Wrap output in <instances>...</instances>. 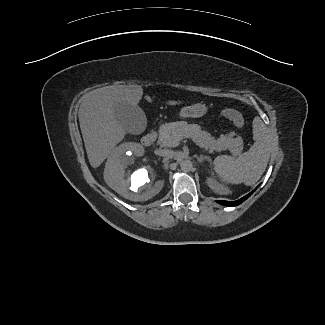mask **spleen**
<instances>
[{
    "label": "spleen",
    "instance_id": "obj_1",
    "mask_svg": "<svg viewBox=\"0 0 325 325\" xmlns=\"http://www.w3.org/2000/svg\"><path fill=\"white\" fill-rule=\"evenodd\" d=\"M253 139L254 145L239 157L215 158L213 169L223 182L251 186L261 178L270 159L271 138L268 127L258 116L253 120Z\"/></svg>",
    "mask_w": 325,
    "mask_h": 325
}]
</instances>
